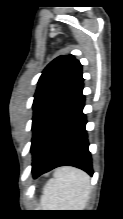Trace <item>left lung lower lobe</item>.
<instances>
[{
  "label": "left lung lower lobe",
  "mask_w": 123,
  "mask_h": 219,
  "mask_svg": "<svg viewBox=\"0 0 123 219\" xmlns=\"http://www.w3.org/2000/svg\"><path fill=\"white\" fill-rule=\"evenodd\" d=\"M82 90L83 82L43 126L32 151L34 178L59 166H74L93 174Z\"/></svg>",
  "instance_id": "0a47b994"
}]
</instances>
